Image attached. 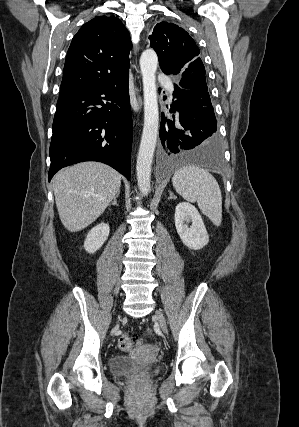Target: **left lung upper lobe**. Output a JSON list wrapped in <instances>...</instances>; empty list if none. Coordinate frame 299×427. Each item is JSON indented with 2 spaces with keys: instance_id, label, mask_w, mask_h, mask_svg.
<instances>
[{
  "instance_id": "left-lung-upper-lobe-1",
  "label": "left lung upper lobe",
  "mask_w": 299,
  "mask_h": 427,
  "mask_svg": "<svg viewBox=\"0 0 299 427\" xmlns=\"http://www.w3.org/2000/svg\"><path fill=\"white\" fill-rule=\"evenodd\" d=\"M149 39L163 72L178 75L182 88L203 93L210 99L200 50L183 28L161 22L154 27Z\"/></svg>"
}]
</instances>
